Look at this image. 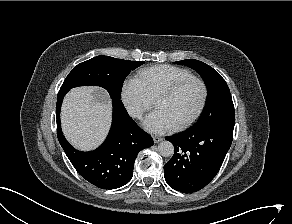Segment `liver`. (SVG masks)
Wrapping results in <instances>:
<instances>
[{"mask_svg": "<svg viewBox=\"0 0 292 224\" xmlns=\"http://www.w3.org/2000/svg\"><path fill=\"white\" fill-rule=\"evenodd\" d=\"M111 113V101L103 89H71L61 109L63 133L75 148L92 150L104 140L110 127Z\"/></svg>", "mask_w": 292, "mask_h": 224, "instance_id": "1", "label": "liver"}]
</instances>
